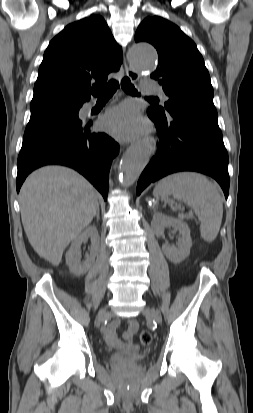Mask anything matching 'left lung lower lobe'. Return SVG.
<instances>
[{"mask_svg": "<svg viewBox=\"0 0 253 413\" xmlns=\"http://www.w3.org/2000/svg\"><path fill=\"white\" fill-rule=\"evenodd\" d=\"M159 136L157 153L142 172L137 195L151 182L179 171H196L213 177L229 194L228 154L217 116L177 111L159 117L147 111Z\"/></svg>", "mask_w": 253, "mask_h": 413, "instance_id": "0a47b994", "label": "left lung lower lobe"}]
</instances>
